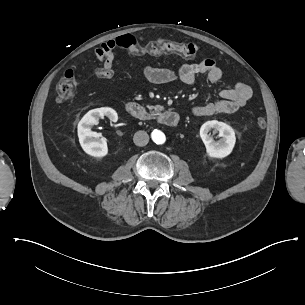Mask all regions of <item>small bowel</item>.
Wrapping results in <instances>:
<instances>
[{
    "label": "small bowel",
    "instance_id": "1",
    "mask_svg": "<svg viewBox=\"0 0 305 305\" xmlns=\"http://www.w3.org/2000/svg\"><path fill=\"white\" fill-rule=\"evenodd\" d=\"M114 45L115 40L108 38L100 47L94 49V54L96 56H102L103 61L106 62L104 63V68H111L113 66L112 62L115 55ZM143 74L150 83L158 85L176 81H180L186 85H192L200 75H206L210 82L217 83L223 76L222 69L211 58H205L197 63L183 65L178 70L148 66L144 69ZM220 97V100L214 102L195 105L192 108V114L196 117H202L217 113L234 112L245 106L249 101L252 97V88L244 82H237L232 87L223 89L220 92Z\"/></svg>",
    "mask_w": 305,
    "mask_h": 305
}]
</instances>
